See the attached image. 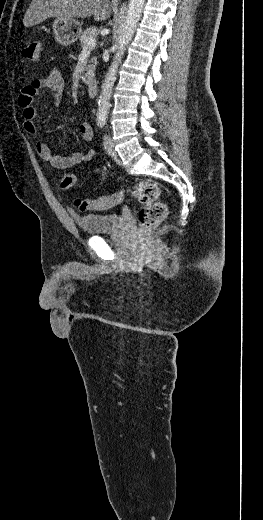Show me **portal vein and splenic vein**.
<instances>
[{"label":"portal vein and splenic vein","instance_id":"obj_1","mask_svg":"<svg viewBox=\"0 0 263 520\" xmlns=\"http://www.w3.org/2000/svg\"><path fill=\"white\" fill-rule=\"evenodd\" d=\"M95 45H96V39L95 38H90L88 40V42H87V46L84 47V49L95 47Z\"/></svg>","mask_w":263,"mask_h":520}]
</instances>
